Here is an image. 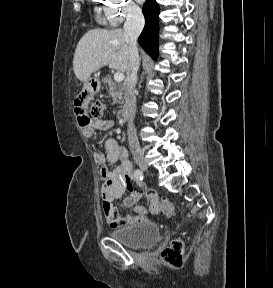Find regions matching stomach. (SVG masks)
Segmentation results:
<instances>
[{"mask_svg":"<svg viewBox=\"0 0 273 288\" xmlns=\"http://www.w3.org/2000/svg\"><path fill=\"white\" fill-rule=\"evenodd\" d=\"M86 88L88 91L91 93L95 94L99 91L100 89V82L98 79H90L89 82L86 84Z\"/></svg>","mask_w":273,"mask_h":288,"instance_id":"0dacf381","label":"stomach"}]
</instances>
